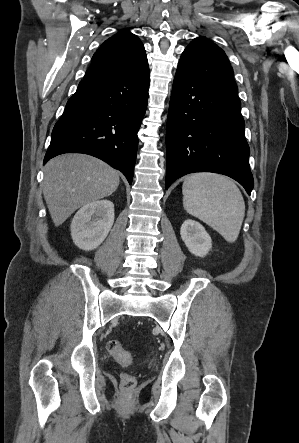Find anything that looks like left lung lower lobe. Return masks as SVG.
<instances>
[{"mask_svg": "<svg viewBox=\"0 0 299 443\" xmlns=\"http://www.w3.org/2000/svg\"><path fill=\"white\" fill-rule=\"evenodd\" d=\"M238 93L177 69L166 129L167 189L194 172L238 181L250 195L253 176Z\"/></svg>", "mask_w": 299, "mask_h": 443, "instance_id": "obj_1", "label": "left lung lower lobe"}]
</instances>
